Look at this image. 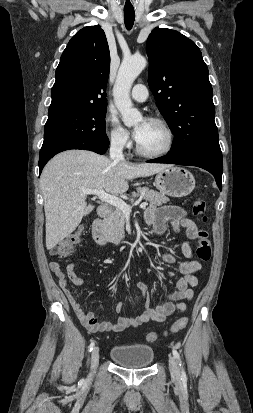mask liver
Here are the masks:
<instances>
[{
  "label": "liver",
  "mask_w": 253,
  "mask_h": 413,
  "mask_svg": "<svg viewBox=\"0 0 253 413\" xmlns=\"http://www.w3.org/2000/svg\"><path fill=\"white\" fill-rule=\"evenodd\" d=\"M171 166L160 163L118 162L86 150H67L44 167L40 186L46 217V247L53 249L70 235L93 205L85 202L82 188L123 194L128 180L147 177Z\"/></svg>",
  "instance_id": "6515ba94"
}]
</instances>
